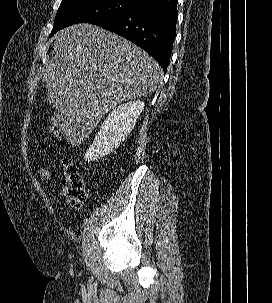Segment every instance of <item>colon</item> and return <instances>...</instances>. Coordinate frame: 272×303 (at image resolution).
Segmentation results:
<instances>
[{"label": "colon", "instance_id": "obj_1", "mask_svg": "<svg viewBox=\"0 0 272 303\" xmlns=\"http://www.w3.org/2000/svg\"><path fill=\"white\" fill-rule=\"evenodd\" d=\"M49 132L55 137L60 135L61 122L58 117L51 119ZM62 166L64 171L63 195L71 208L79 210L86 197L84 178L77 164L69 156L63 158ZM35 172L43 181H50L53 178L51 168L44 163H38Z\"/></svg>", "mask_w": 272, "mask_h": 303}]
</instances>
